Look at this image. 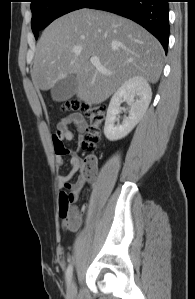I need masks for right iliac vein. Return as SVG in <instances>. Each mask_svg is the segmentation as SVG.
I'll return each mask as SVG.
<instances>
[{"label":"right iliac vein","mask_w":195,"mask_h":299,"mask_svg":"<svg viewBox=\"0 0 195 299\" xmlns=\"http://www.w3.org/2000/svg\"><path fill=\"white\" fill-rule=\"evenodd\" d=\"M67 294L69 296L70 299H73L75 294H76V286H75V283L74 281H71L69 284H68V287H67Z\"/></svg>","instance_id":"obj_1"}]
</instances>
